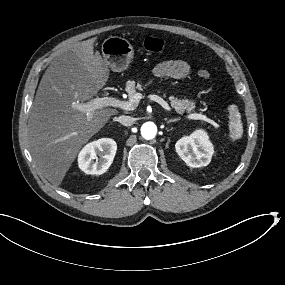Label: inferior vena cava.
<instances>
[{
  "label": "inferior vena cava",
  "mask_w": 285,
  "mask_h": 285,
  "mask_svg": "<svg viewBox=\"0 0 285 285\" xmlns=\"http://www.w3.org/2000/svg\"><path fill=\"white\" fill-rule=\"evenodd\" d=\"M118 119L119 122L125 126H131L135 122V119L131 116H121Z\"/></svg>",
  "instance_id": "obj_1"
}]
</instances>
